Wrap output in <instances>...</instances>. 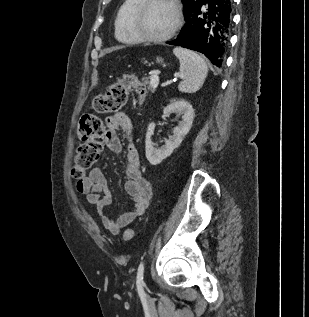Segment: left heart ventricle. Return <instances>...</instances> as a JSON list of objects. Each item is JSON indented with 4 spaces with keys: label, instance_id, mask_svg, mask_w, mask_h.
I'll return each mask as SVG.
<instances>
[{
    "label": "left heart ventricle",
    "instance_id": "b2bd125f",
    "mask_svg": "<svg viewBox=\"0 0 309 317\" xmlns=\"http://www.w3.org/2000/svg\"><path fill=\"white\" fill-rule=\"evenodd\" d=\"M176 20L174 9L167 3H156L144 14L140 29L150 36H162L169 32Z\"/></svg>",
    "mask_w": 309,
    "mask_h": 317
}]
</instances>
